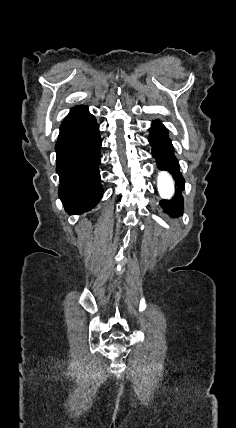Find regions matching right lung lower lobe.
<instances>
[{
  "instance_id": "right-lung-lower-lobe-1",
  "label": "right lung lower lobe",
  "mask_w": 236,
  "mask_h": 428,
  "mask_svg": "<svg viewBox=\"0 0 236 428\" xmlns=\"http://www.w3.org/2000/svg\"><path fill=\"white\" fill-rule=\"evenodd\" d=\"M100 147L96 119L87 106L74 107L61 124L55 147L59 198L69 214L94 208L103 194L98 170Z\"/></svg>"
}]
</instances>
